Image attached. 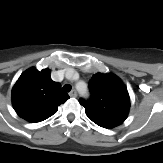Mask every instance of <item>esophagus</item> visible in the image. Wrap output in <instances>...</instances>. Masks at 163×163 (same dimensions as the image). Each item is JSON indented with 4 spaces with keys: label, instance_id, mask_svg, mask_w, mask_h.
I'll list each match as a JSON object with an SVG mask.
<instances>
[{
    "label": "esophagus",
    "instance_id": "34e87169",
    "mask_svg": "<svg viewBox=\"0 0 163 163\" xmlns=\"http://www.w3.org/2000/svg\"><path fill=\"white\" fill-rule=\"evenodd\" d=\"M69 96H70V97H73V98L77 97V92H76V90H72V91L69 93Z\"/></svg>",
    "mask_w": 163,
    "mask_h": 163
}]
</instances>
